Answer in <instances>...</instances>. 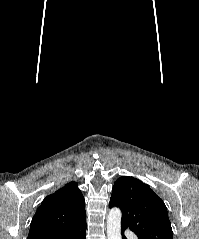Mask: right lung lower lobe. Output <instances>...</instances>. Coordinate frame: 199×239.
Segmentation results:
<instances>
[{"label":"right lung lower lobe","mask_w":199,"mask_h":239,"mask_svg":"<svg viewBox=\"0 0 199 239\" xmlns=\"http://www.w3.org/2000/svg\"><path fill=\"white\" fill-rule=\"evenodd\" d=\"M85 234L86 222H83L66 232L49 236H38L33 239H85Z\"/></svg>","instance_id":"98d812e1"}]
</instances>
